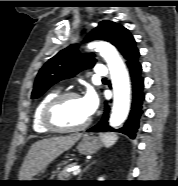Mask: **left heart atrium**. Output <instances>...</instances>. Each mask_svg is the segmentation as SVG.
<instances>
[{"instance_id":"obj_1","label":"left heart atrium","mask_w":178,"mask_h":186,"mask_svg":"<svg viewBox=\"0 0 178 186\" xmlns=\"http://www.w3.org/2000/svg\"><path fill=\"white\" fill-rule=\"evenodd\" d=\"M85 110L89 116L95 113L98 108V97L94 91L89 90L83 98H81Z\"/></svg>"}]
</instances>
